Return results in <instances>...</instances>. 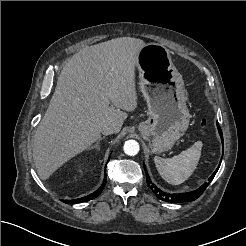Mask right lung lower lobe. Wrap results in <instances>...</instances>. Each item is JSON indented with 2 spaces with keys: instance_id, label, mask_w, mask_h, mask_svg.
<instances>
[{
  "instance_id": "1",
  "label": "right lung lower lobe",
  "mask_w": 246,
  "mask_h": 246,
  "mask_svg": "<svg viewBox=\"0 0 246 246\" xmlns=\"http://www.w3.org/2000/svg\"><path fill=\"white\" fill-rule=\"evenodd\" d=\"M106 175H105V178H104V182L102 184V186L96 190L94 193H92L91 195H88L86 197H83V198H79V199H74V200H63L64 203H67V204H75V203H80V202H87L91 199H94L96 198L100 193L101 191L103 190L105 184H106Z\"/></svg>"
}]
</instances>
